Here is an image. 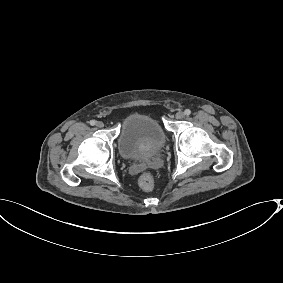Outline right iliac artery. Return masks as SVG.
Masks as SVG:
<instances>
[{"mask_svg":"<svg viewBox=\"0 0 283 283\" xmlns=\"http://www.w3.org/2000/svg\"><path fill=\"white\" fill-rule=\"evenodd\" d=\"M95 124H96V121H95V120H91V121H90V125L93 126V125H95Z\"/></svg>","mask_w":283,"mask_h":283,"instance_id":"right-iliac-artery-1","label":"right iliac artery"}]
</instances>
